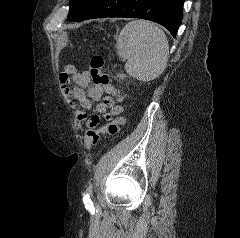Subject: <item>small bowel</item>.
<instances>
[{
    "label": "small bowel",
    "instance_id": "c3829d8e",
    "mask_svg": "<svg viewBox=\"0 0 240 238\" xmlns=\"http://www.w3.org/2000/svg\"><path fill=\"white\" fill-rule=\"evenodd\" d=\"M60 83L67 101L74 109L77 124L83 121L88 128H95L99 124L100 116L92 113L93 101L97 103L95 110L106 121L122 112V107L116 105L111 96H103V86L91 84L87 71H79L75 66L68 64L60 74ZM72 83L77 86L72 87ZM77 105H80L82 110L77 109Z\"/></svg>",
    "mask_w": 240,
    "mask_h": 238
}]
</instances>
